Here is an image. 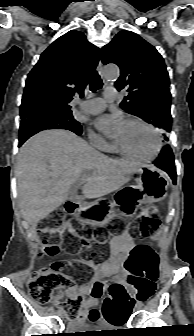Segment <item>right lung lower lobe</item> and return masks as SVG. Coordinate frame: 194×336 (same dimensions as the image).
<instances>
[{"label":"right lung lower lobe","instance_id":"right-lung-lower-lobe-1","mask_svg":"<svg viewBox=\"0 0 194 336\" xmlns=\"http://www.w3.org/2000/svg\"><path fill=\"white\" fill-rule=\"evenodd\" d=\"M26 140H27V139H25V140H20V142H19V146H21Z\"/></svg>","mask_w":194,"mask_h":336}]
</instances>
